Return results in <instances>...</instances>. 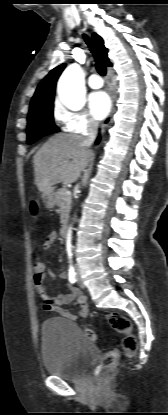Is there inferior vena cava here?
<instances>
[{
  "label": "inferior vena cava",
  "mask_w": 168,
  "mask_h": 415,
  "mask_svg": "<svg viewBox=\"0 0 168 415\" xmlns=\"http://www.w3.org/2000/svg\"><path fill=\"white\" fill-rule=\"evenodd\" d=\"M98 127H99V125H98L97 122L89 123L87 133L83 137V143L86 147H90L93 144V142L95 141Z\"/></svg>",
  "instance_id": "602c4592"
}]
</instances>
